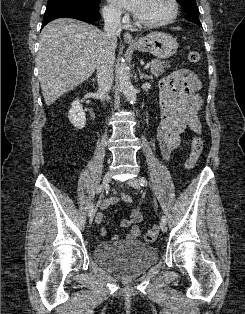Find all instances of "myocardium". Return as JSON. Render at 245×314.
I'll return each instance as SVG.
<instances>
[{
  "instance_id": "1",
  "label": "myocardium",
  "mask_w": 245,
  "mask_h": 314,
  "mask_svg": "<svg viewBox=\"0 0 245 314\" xmlns=\"http://www.w3.org/2000/svg\"><path fill=\"white\" fill-rule=\"evenodd\" d=\"M170 3L172 6V10H171V13L167 17H165L161 20H158V21L148 22V21L140 20L135 15L134 16L135 24L137 26L145 27V28H156V27H161V26H164V25H167V24L173 22L179 14V3H178V0H170Z\"/></svg>"
}]
</instances>
